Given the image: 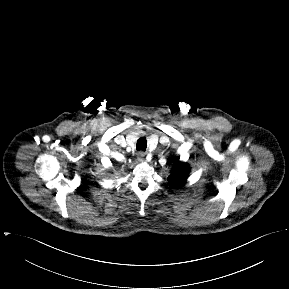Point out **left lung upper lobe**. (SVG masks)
Segmentation results:
<instances>
[{"label":"left lung upper lobe","instance_id":"left-lung-upper-lobe-1","mask_svg":"<svg viewBox=\"0 0 289 289\" xmlns=\"http://www.w3.org/2000/svg\"><path fill=\"white\" fill-rule=\"evenodd\" d=\"M188 174V165L186 163L180 162L178 158L173 166L170 176L168 177V181L171 186L180 187L186 182Z\"/></svg>","mask_w":289,"mask_h":289}]
</instances>
